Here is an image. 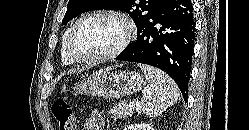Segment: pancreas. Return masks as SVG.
<instances>
[{"label": "pancreas", "mask_w": 249, "mask_h": 130, "mask_svg": "<svg viewBox=\"0 0 249 130\" xmlns=\"http://www.w3.org/2000/svg\"><path fill=\"white\" fill-rule=\"evenodd\" d=\"M109 114L114 120H117L120 118H126L128 116L129 117L133 116L134 110L128 107L127 102L120 101L119 103L114 104L110 108Z\"/></svg>", "instance_id": "cf45deb5"}]
</instances>
